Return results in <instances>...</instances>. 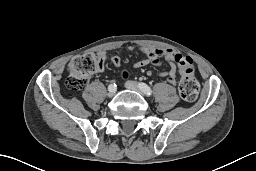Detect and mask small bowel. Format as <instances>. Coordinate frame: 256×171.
Instances as JSON below:
<instances>
[{
  "instance_id": "c3829d8e",
  "label": "small bowel",
  "mask_w": 256,
  "mask_h": 171,
  "mask_svg": "<svg viewBox=\"0 0 256 171\" xmlns=\"http://www.w3.org/2000/svg\"><path fill=\"white\" fill-rule=\"evenodd\" d=\"M140 50L144 53V57H142L135 65L134 67H143L149 64H153L155 66H161V58H165V60L168 62L170 69L168 71L164 72H158L157 74L160 77H163L166 79V81L171 84H176V78H177V66H178V57L182 56V54L174 49L171 48H156V47H139L136 48L134 46H128L127 50L134 51V50ZM97 55L104 63L108 59V55L106 52L101 51L98 52ZM111 62L115 66H120L121 64V58L118 55H113L110 57ZM103 69V65L99 69L101 71Z\"/></svg>"
}]
</instances>
